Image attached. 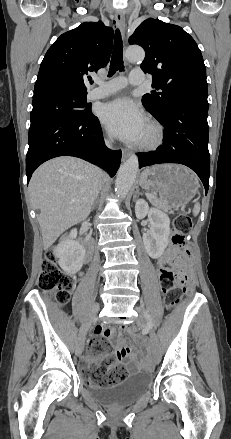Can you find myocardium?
Masks as SVG:
<instances>
[{
	"mask_svg": "<svg viewBox=\"0 0 231 439\" xmlns=\"http://www.w3.org/2000/svg\"><path fill=\"white\" fill-rule=\"evenodd\" d=\"M164 141V130L162 125L154 120L148 123V134L141 139L138 147L142 150H152L159 147Z\"/></svg>",
	"mask_w": 231,
	"mask_h": 439,
	"instance_id": "obj_1",
	"label": "myocardium"
}]
</instances>
